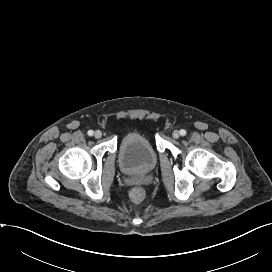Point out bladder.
<instances>
[{"label": "bladder", "mask_w": 272, "mask_h": 272, "mask_svg": "<svg viewBox=\"0 0 272 272\" xmlns=\"http://www.w3.org/2000/svg\"><path fill=\"white\" fill-rule=\"evenodd\" d=\"M156 163V150L144 134L132 131L123 137L119 147V164L125 173H148Z\"/></svg>", "instance_id": "obj_1"}]
</instances>
